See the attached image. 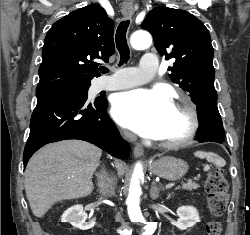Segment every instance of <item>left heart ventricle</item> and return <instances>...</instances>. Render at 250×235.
Listing matches in <instances>:
<instances>
[{
  "label": "left heart ventricle",
  "instance_id": "b2bd125f",
  "mask_svg": "<svg viewBox=\"0 0 250 235\" xmlns=\"http://www.w3.org/2000/svg\"><path fill=\"white\" fill-rule=\"evenodd\" d=\"M188 127L187 116L179 110L173 108L170 113L164 130L159 135L158 139L170 140L182 135Z\"/></svg>",
  "mask_w": 250,
  "mask_h": 235
}]
</instances>
